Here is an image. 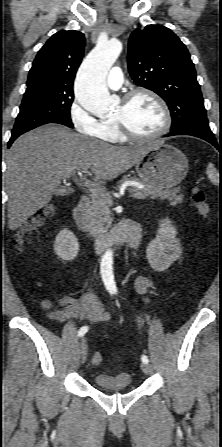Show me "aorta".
<instances>
[{
    "mask_svg": "<svg viewBox=\"0 0 222 447\" xmlns=\"http://www.w3.org/2000/svg\"><path fill=\"white\" fill-rule=\"evenodd\" d=\"M122 43L118 39L98 42L96 47L83 60L75 85V97L78 103L95 115H104L111 111L114 101L105 84L106 75L119 57ZM113 252L108 250L104 260L112 263ZM113 281L112 271L104 276Z\"/></svg>",
    "mask_w": 222,
    "mask_h": 447,
    "instance_id": "aorta-1",
    "label": "aorta"
}]
</instances>
